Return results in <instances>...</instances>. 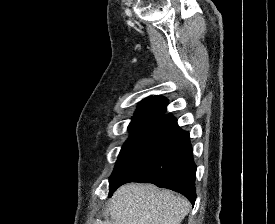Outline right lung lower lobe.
<instances>
[{"label":"right lung lower lobe","mask_w":275,"mask_h":224,"mask_svg":"<svg viewBox=\"0 0 275 224\" xmlns=\"http://www.w3.org/2000/svg\"><path fill=\"white\" fill-rule=\"evenodd\" d=\"M195 178L189 133L180 129L177 120L167 114L110 179L109 197L128 182L153 183L184 195L194 205Z\"/></svg>","instance_id":"obj_1"}]
</instances>
